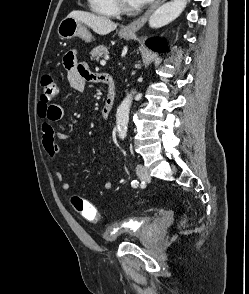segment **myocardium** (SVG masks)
<instances>
[{
	"label": "myocardium",
	"instance_id": "1",
	"mask_svg": "<svg viewBox=\"0 0 249 294\" xmlns=\"http://www.w3.org/2000/svg\"><path fill=\"white\" fill-rule=\"evenodd\" d=\"M114 2L117 5L119 11L125 13H132L136 11V8L133 5L127 4L125 0H114Z\"/></svg>",
	"mask_w": 249,
	"mask_h": 294
}]
</instances>
